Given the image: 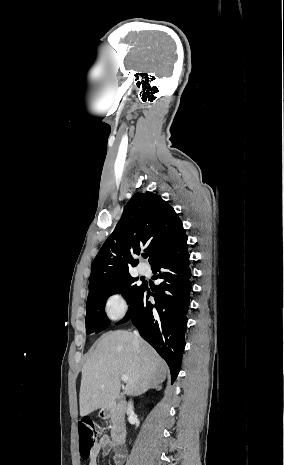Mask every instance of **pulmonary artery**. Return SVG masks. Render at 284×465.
Returning <instances> with one entry per match:
<instances>
[{
	"mask_svg": "<svg viewBox=\"0 0 284 465\" xmlns=\"http://www.w3.org/2000/svg\"><path fill=\"white\" fill-rule=\"evenodd\" d=\"M146 271H147V269H146L145 266H143V265H141V264H139V265L137 266V272H138L139 274L143 275V274L146 273Z\"/></svg>",
	"mask_w": 284,
	"mask_h": 465,
	"instance_id": "obj_1",
	"label": "pulmonary artery"
}]
</instances>
